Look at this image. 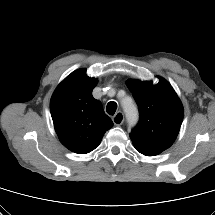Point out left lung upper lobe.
Instances as JSON below:
<instances>
[{"label":"left lung upper lobe","instance_id":"left-lung-upper-lobe-1","mask_svg":"<svg viewBox=\"0 0 215 215\" xmlns=\"http://www.w3.org/2000/svg\"><path fill=\"white\" fill-rule=\"evenodd\" d=\"M127 87L138 105L140 120L130 133L134 147L141 154L155 156L175 141L183 120V106L172 86L159 82L128 80Z\"/></svg>","mask_w":215,"mask_h":215}]
</instances>
